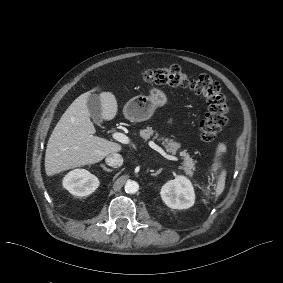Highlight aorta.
I'll use <instances>...</instances> for the list:
<instances>
[{
    "mask_svg": "<svg viewBox=\"0 0 283 283\" xmlns=\"http://www.w3.org/2000/svg\"><path fill=\"white\" fill-rule=\"evenodd\" d=\"M124 188L126 193L134 194L139 190V184L136 181L129 180Z\"/></svg>",
    "mask_w": 283,
    "mask_h": 283,
    "instance_id": "1",
    "label": "aorta"
}]
</instances>
